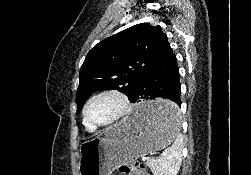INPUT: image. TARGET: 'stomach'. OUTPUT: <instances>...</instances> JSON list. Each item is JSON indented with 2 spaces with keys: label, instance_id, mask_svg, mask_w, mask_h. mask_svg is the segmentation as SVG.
Here are the masks:
<instances>
[{
  "label": "stomach",
  "instance_id": "stomach-1",
  "mask_svg": "<svg viewBox=\"0 0 251 175\" xmlns=\"http://www.w3.org/2000/svg\"><path fill=\"white\" fill-rule=\"evenodd\" d=\"M174 100H141L131 115L107 127L103 137L83 141L79 149V175H111L114 169L167 147L174 134H182Z\"/></svg>",
  "mask_w": 251,
  "mask_h": 175
}]
</instances>
